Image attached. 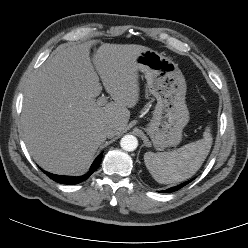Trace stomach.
Segmentation results:
<instances>
[{
  "mask_svg": "<svg viewBox=\"0 0 248 248\" xmlns=\"http://www.w3.org/2000/svg\"><path fill=\"white\" fill-rule=\"evenodd\" d=\"M136 62L145 74L150 93L157 99L146 132L157 148L177 146L189 121L185 78L178 64L151 49L140 53Z\"/></svg>",
  "mask_w": 248,
  "mask_h": 248,
  "instance_id": "0dacf381",
  "label": "stomach"
}]
</instances>
